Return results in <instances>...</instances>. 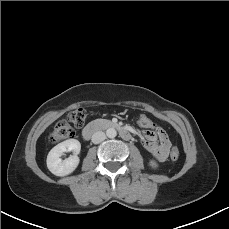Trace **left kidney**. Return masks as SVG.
<instances>
[{
	"label": "left kidney",
	"instance_id": "left-kidney-1",
	"mask_svg": "<svg viewBox=\"0 0 229 229\" xmlns=\"http://www.w3.org/2000/svg\"><path fill=\"white\" fill-rule=\"evenodd\" d=\"M150 165L153 167V168H156L158 165L155 161H150Z\"/></svg>",
	"mask_w": 229,
	"mask_h": 229
}]
</instances>
